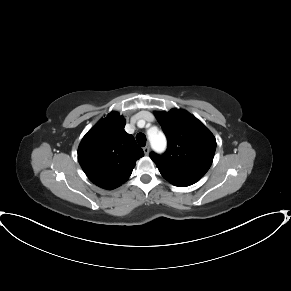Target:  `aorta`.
Here are the masks:
<instances>
[{
  "label": "aorta",
  "mask_w": 291,
  "mask_h": 291,
  "mask_svg": "<svg viewBox=\"0 0 291 291\" xmlns=\"http://www.w3.org/2000/svg\"><path fill=\"white\" fill-rule=\"evenodd\" d=\"M148 137L152 147L155 150L161 151L166 146V138L164 134L157 129H150L148 131Z\"/></svg>",
  "instance_id": "762f6f07"
}]
</instances>
